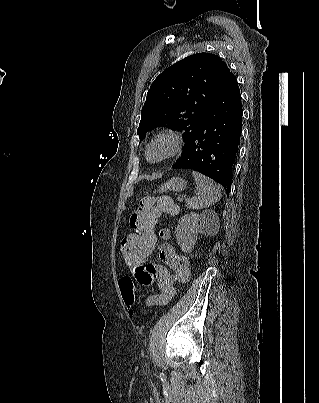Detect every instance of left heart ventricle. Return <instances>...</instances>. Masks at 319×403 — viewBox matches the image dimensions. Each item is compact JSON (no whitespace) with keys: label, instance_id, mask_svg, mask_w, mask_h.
<instances>
[{"label":"left heart ventricle","instance_id":"1","mask_svg":"<svg viewBox=\"0 0 319 403\" xmlns=\"http://www.w3.org/2000/svg\"><path fill=\"white\" fill-rule=\"evenodd\" d=\"M168 150V143L166 141H161L152 146L150 150V158L158 159L163 156Z\"/></svg>","mask_w":319,"mask_h":403}]
</instances>
